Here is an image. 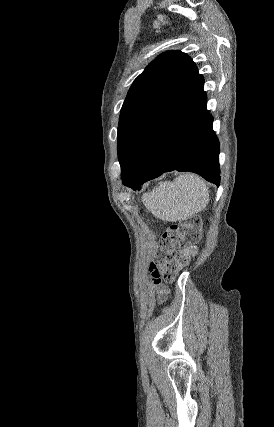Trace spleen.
<instances>
[{
	"mask_svg": "<svg viewBox=\"0 0 274 427\" xmlns=\"http://www.w3.org/2000/svg\"><path fill=\"white\" fill-rule=\"evenodd\" d=\"M208 200L207 184L196 174H180L174 182H162L153 192L142 196L147 210L163 221L188 219L202 212Z\"/></svg>",
	"mask_w": 274,
	"mask_h": 427,
	"instance_id": "3e777b00",
	"label": "spleen"
}]
</instances>
